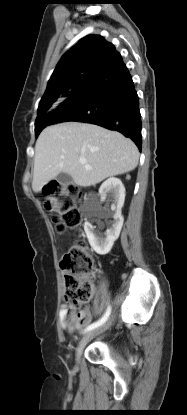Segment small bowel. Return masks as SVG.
<instances>
[{
  "label": "small bowel",
  "mask_w": 187,
  "mask_h": 415,
  "mask_svg": "<svg viewBox=\"0 0 187 415\" xmlns=\"http://www.w3.org/2000/svg\"><path fill=\"white\" fill-rule=\"evenodd\" d=\"M62 328L70 333L80 330L91 322V313L88 308L74 311L68 307L61 309Z\"/></svg>",
  "instance_id": "1"
}]
</instances>
